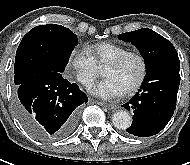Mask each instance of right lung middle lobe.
Returning a JSON list of instances; mask_svg holds the SVG:
<instances>
[{
	"label": "right lung middle lobe",
	"instance_id": "obj_1",
	"mask_svg": "<svg viewBox=\"0 0 190 165\" xmlns=\"http://www.w3.org/2000/svg\"><path fill=\"white\" fill-rule=\"evenodd\" d=\"M77 43V36L61 25H40L31 29L16 52L15 85L19 86L38 73H62Z\"/></svg>",
	"mask_w": 190,
	"mask_h": 165
}]
</instances>
